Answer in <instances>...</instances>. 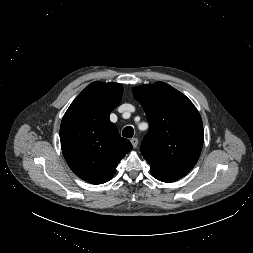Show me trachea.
I'll return each mask as SVG.
<instances>
[{
    "instance_id": "obj_1",
    "label": "trachea",
    "mask_w": 253,
    "mask_h": 253,
    "mask_svg": "<svg viewBox=\"0 0 253 253\" xmlns=\"http://www.w3.org/2000/svg\"><path fill=\"white\" fill-rule=\"evenodd\" d=\"M122 135L126 138H131L134 135V129L131 126H127L123 129Z\"/></svg>"
}]
</instances>
